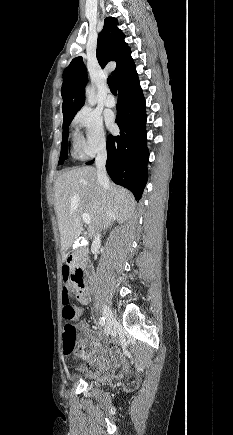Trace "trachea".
Returning <instances> with one entry per match:
<instances>
[{
  "instance_id": "obj_1",
  "label": "trachea",
  "mask_w": 233,
  "mask_h": 435,
  "mask_svg": "<svg viewBox=\"0 0 233 435\" xmlns=\"http://www.w3.org/2000/svg\"><path fill=\"white\" fill-rule=\"evenodd\" d=\"M107 83L109 85L110 91L112 94H117V85H116V80L114 77L109 76Z\"/></svg>"
}]
</instances>
